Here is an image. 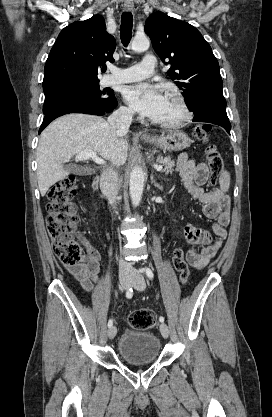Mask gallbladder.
Returning a JSON list of instances; mask_svg holds the SVG:
<instances>
[{
	"mask_svg": "<svg viewBox=\"0 0 272 417\" xmlns=\"http://www.w3.org/2000/svg\"><path fill=\"white\" fill-rule=\"evenodd\" d=\"M65 169L75 175H86L88 172L85 167L76 164H67Z\"/></svg>",
	"mask_w": 272,
	"mask_h": 417,
	"instance_id": "obj_1",
	"label": "gallbladder"
}]
</instances>
